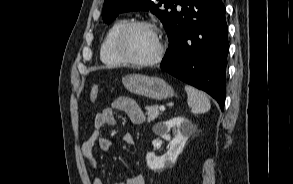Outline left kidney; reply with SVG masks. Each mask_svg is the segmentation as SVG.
Masks as SVG:
<instances>
[{
	"instance_id": "1",
	"label": "left kidney",
	"mask_w": 293,
	"mask_h": 184,
	"mask_svg": "<svg viewBox=\"0 0 293 184\" xmlns=\"http://www.w3.org/2000/svg\"><path fill=\"white\" fill-rule=\"evenodd\" d=\"M173 137L170 136V131ZM195 131V126L186 118L178 116L165 121L158 126L160 136L169 141L168 151L160 156L148 152L146 155L147 166L151 170H160L166 166H174L178 156L182 153L185 144Z\"/></svg>"
}]
</instances>
